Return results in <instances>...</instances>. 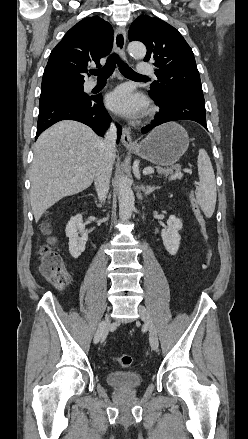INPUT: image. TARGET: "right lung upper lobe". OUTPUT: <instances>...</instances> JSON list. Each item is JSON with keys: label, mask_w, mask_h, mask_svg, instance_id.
<instances>
[{"label": "right lung upper lobe", "mask_w": 248, "mask_h": 439, "mask_svg": "<svg viewBox=\"0 0 248 439\" xmlns=\"http://www.w3.org/2000/svg\"><path fill=\"white\" fill-rule=\"evenodd\" d=\"M113 44L112 26L98 16L73 26L52 50L44 70L41 96L83 87L91 64L109 54Z\"/></svg>", "instance_id": "1"}]
</instances>
